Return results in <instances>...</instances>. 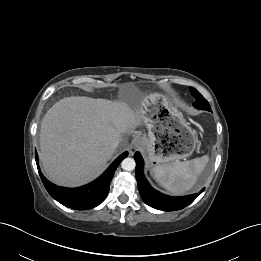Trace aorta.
Here are the masks:
<instances>
[{
  "label": "aorta",
  "instance_id": "aorta-1",
  "mask_svg": "<svg viewBox=\"0 0 261 261\" xmlns=\"http://www.w3.org/2000/svg\"><path fill=\"white\" fill-rule=\"evenodd\" d=\"M136 163L135 160L133 158H125L122 162H121V167L123 170L126 171H132L135 169Z\"/></svg>",
  "mask_w": 261,
  "mask_h": 261
}]
</instances>
